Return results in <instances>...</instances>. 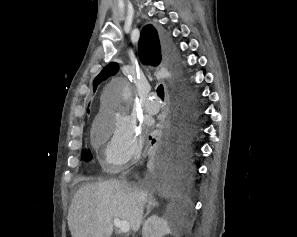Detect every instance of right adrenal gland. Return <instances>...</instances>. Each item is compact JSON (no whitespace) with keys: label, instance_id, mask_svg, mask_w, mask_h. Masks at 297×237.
I'll return each instance as SVG.
<instances>
[{"label":"right adrenal gland","instance_id":"1","mask_svg":"<svg viewBox=\"0 0 297 237\" xmlns=\"http://www.w3.org/2000/svg\"><path fill=\"white\" fill-rule=\"evenodd\" d=\"M158 206V202L153 196H149L148 198V205L146 206V214L144 215L143 219L150 213L151 208Z\"/></svg>","mask_w":297,"mask_h":237}]
</instances>
